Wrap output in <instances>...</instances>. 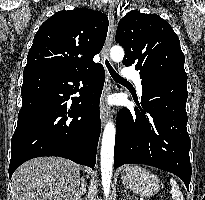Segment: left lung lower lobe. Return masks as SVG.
<instances>
[{
	"label": "left lung lower lobe",
	"mask_w": 205,
	"mask_h": 200,
	"mask_svg": "<svg viewBox=\"0 0 205 200\" xmlns=\"http://www.w3.org/2000/svg\"><path fill=\"white\" fill-rule=\"evenodd\" d=\"M141 79V106L123 108L116 119L114 168L129 163L154 166L180 177L189 190L187 74L175 71Z\"/></svg>",
	"instance_id": "1"
}]
</instances>
